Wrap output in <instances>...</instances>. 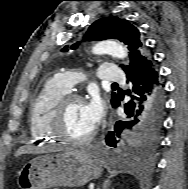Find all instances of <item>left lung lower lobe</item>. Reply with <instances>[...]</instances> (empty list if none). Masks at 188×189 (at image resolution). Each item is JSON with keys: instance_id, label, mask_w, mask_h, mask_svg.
Masks as SVG:
<instances>
[{"instance_id": "1", "label": "left lung lower lobe", "mask_w": 188, "mask_h": 189, "mask_svg": "<svg viewBox=\"0 0 188 189\" xmlns=\"http://www.w3.org/2000/svg\"><path fill=\"white\" fill-rule=\"evenodd\" d=\"M130 82V89L126 91L131 96L125 104V113L129 120L117 122L115 132L106 136L108 146L116 147L123 129L130 135L135 130H145L161 125L165 107L164 84L161 82L157 69L151 60H145L125 71ZM120 104L119 99L113 106Z\"/></svg>"}]
</instances>
